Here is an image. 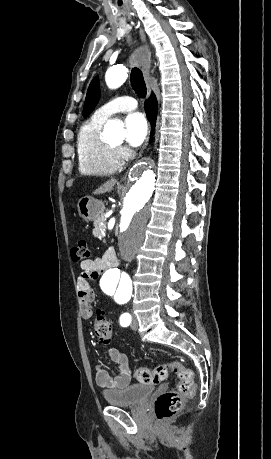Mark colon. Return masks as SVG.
Segmentation results:
<instances>
[{"label":"colon","instance_id":"colon-1","mask_svg":"<svg viewBox=\"0 0 271 459\" xmlns=\"http://www.w3.org/2000/svg\"><path fill=\"white\" fill-rule=\"evenodd\" d=\"M90 250L85 241H79L71 249L73 261L89 259ZM94 333L98 341L108 344L112 339L111 323L102 310H98L93 322ZM174 372L179 381L175 389L159 395L155 402V415L159 421H165L176 415L182 408L183 402L192 398L195 394L193 371L179 361L159 364L153 368H138L134 376L136 380L145 385H157L164 381L168 373Z\"/></svg>","mask_w":271,"mask_h":459}]
</instances>
